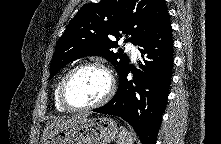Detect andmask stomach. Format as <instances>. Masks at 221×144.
<instances>
[{
  "label": "stomach",
  "mask_w": 221,
  "mask_h": 144,
  "mask_svg": "<svg viewBox=\"0 0 221 144\" xmlns=\"http://www.w3.org/2000/svg\"><path fill=\"white\" fill-rule=\"evenodd\" d=\"M117 123L108 117L84 118L55 132L45 144H108L118 136Z\"/></svg>",
  "instance_id": "1"
}]
</instances>
